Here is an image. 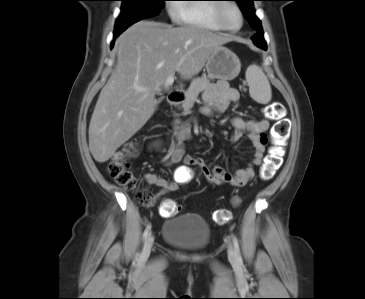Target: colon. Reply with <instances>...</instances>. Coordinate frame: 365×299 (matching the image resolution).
I'll return each instance as SVG.
<instances>
[{"label":"colon","instance_id":"1","mask_svg":"<svg viewBox=\"0 0 365 299\" xmlns=\"http://www.w3.org/2000/svg\"><path fill=\"white\" fill-rule=\"evenodd\" d=\"M283 107L280 103L270 105L266 109V115L269 119L276 123L271 131L272 147L270 154L261 168V178L270 180L281 166L283 156V145L288 135L289 126L287 121L282 118ZM138 153L137 141L128 142L120 151H118L108 165L110 176L126 190L137 189V179L130 170L129 160L135 157ZM186 180V179H184ZM138 201L149 206L152 204V194L148 189H141L137 192ZM240 202L238 198L234 199V204ZM178 205L172 200H164L160 209L163 217H170L176 214ZM214 220L218 224H224L231 218L230 211L227 209H218L213 214Z\"/></svg>","mask_w":365,"mask_h":299}]
</instances>
